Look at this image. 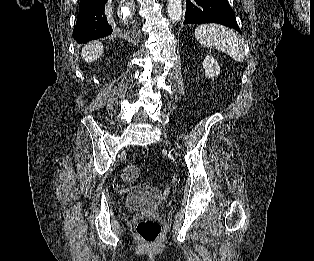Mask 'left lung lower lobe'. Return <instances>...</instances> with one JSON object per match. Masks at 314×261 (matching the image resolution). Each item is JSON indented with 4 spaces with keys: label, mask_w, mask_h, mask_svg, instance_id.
Wrapping results in <instances>:
<instances>
[{
    "label": "left lung lower lobe",
    "mask_w": 314,
    "mask_h": 261,
    "mask_svg": "<svg viewBox=\"0 0 314 261\" xmlns=\"http://www.w3.org/2000/svg\"><path fill=\"white\" fill-rule=\"evenodd\" d=\"M219 23L241 34L227 0H186L184 24Z\"/></svg>",
    "instance_id": "left-lung-lower-lobe-1"
}]
</instances>
